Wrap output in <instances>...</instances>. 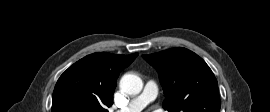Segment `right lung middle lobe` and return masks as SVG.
I'll return each mask as SVG.
<instances>
[{"label":"right lung middle lobe","mask_w":270,"mask_h":112,"mask_svg":"<svg viewBox=\"0 0 270 112\" xmlns=\"http://www.w3.org/2000/svg\"><path fill=\"white\" fill-rule=\"evenodd\" d=\"M65 111H66V112H84L85 110L82 109V108L79 107V106L71 105V106H69Z\"/></svg>","instance_id":"obj_1"}]
</instances>
